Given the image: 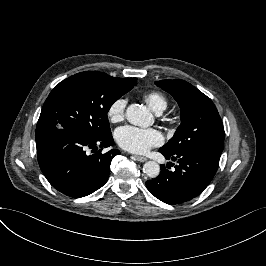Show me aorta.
Segmentation results:
<instances>
[{
    "label": "aorta",
    "mask_w": 266,
    "mask_h": 266,
    "mask_svg": "<svg viewBox=\"0 0 266 266\" xmlns=\"http://www.w3.org/2000/svg\"><path fill=\"white\" fill-rule=\"evenodd\" d=\"M126 119L133 125L148 127L153 124L152 113L142 105L131 104L126 110ZM143 172L149 178H156L160 173V165L155 161H147L143 165Z\"/></svg>",
    "instance_id": "aorta-1"
}]
</instances>
